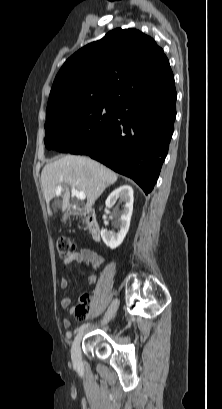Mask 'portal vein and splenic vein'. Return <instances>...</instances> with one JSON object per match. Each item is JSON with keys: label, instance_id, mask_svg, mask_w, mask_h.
Instances as JSON below:
<instances>
[{"label": "portal vein and splenic vein", "instance_id": "1", "mask_svg": "<svg viewBox=\"0 0 222 409\" xmlns=\"http://www.w3.org/2000/svg\"><path fill=\"white\" fill-rule=\"evenodd\" d=\"M61 190H62V187H61V185H59V186L57 187V192L60 193ZM71 192H72V195H73V196H75L76 198H78V199H80V200H85V199H86L85 193H84L83 191L77 190L75 187H72Z\"/></svg>", "mask_w": 222, "mask_h": 409}]
</instances>
